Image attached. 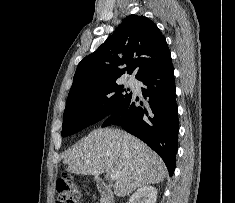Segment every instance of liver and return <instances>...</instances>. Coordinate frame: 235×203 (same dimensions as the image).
Segmentation results:
<instances>
[{
    "mask_svg": "<svg viewBox=\"0 0 235 203\" xmlns=\"http://www.w3.org/2000/svg\"><path fill=\"white\" fill-rule=\"evenodd\" d=\"M71 173L98 176L118 172L114 184L118 197L139 187L162 182L167 169L158 154L138 138L118 129H96L65 153Z\"/></svg>",
    "mask_w": 235,
    "mask_h": 203,
    "instance_id": "1",
    "label": "liver"
}]
</instances>
